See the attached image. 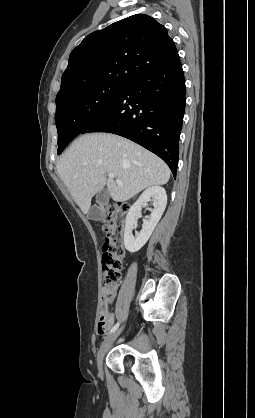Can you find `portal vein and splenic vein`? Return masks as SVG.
<instances>
[{"label": "portal vein and splenic vein", "mask_w": 255, "mask_h": 418, "mask_svg": "<svg viewBox=\"0 0 255 418\" xmlns=\"http://www.w3.org/2000/svg\"><path fill=\"white\" fill-rule=\"evenodd\" d=\"M108 176H109V178H114L115 177V175L113 173H109ZM116 182H117L118 185H123L122 182L119 181V180H116Z\"/></svg>", "instance_id": "portal-vein-and-splenic-vein-1"}]
</instances>
